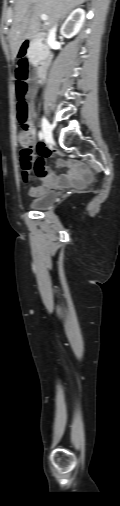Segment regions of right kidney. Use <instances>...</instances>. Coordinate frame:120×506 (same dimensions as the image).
I'll return each mask as SVG.
<instances>
[{"label":"right kidney","instance_id":"right-kidney-1","mask_svg":"<svg viewBox=\"0 0 120 506\" xmlns=\"http://www.w3.org/2000/svg\"><path fill=\"white\" fill-rule=\"evenodd\" d=\"M85 19V11L81 8L75 9L68 16L61 27V34L66 38L76 35L81 29Z\"/></svg>","mask_w":120,"mask_h":506}]
</instances>
